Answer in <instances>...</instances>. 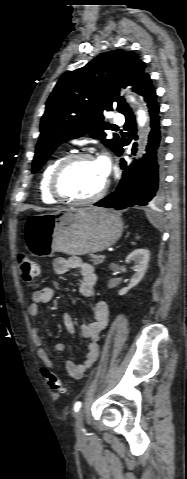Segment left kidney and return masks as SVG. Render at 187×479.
Returning a JSON list of instances; mask_svg holds the SVG:
<instances>
[{
  "label": "left kidney",
  "instance_id": "obj_1",
  "mask_svg": "<svg viewBox=\"0 0 187 479\" xmlns=\"http://www.w3.org/2000/svg\"><path fill=\"white\" fill-rule=\"evenodd\" d=\"M150 259V252L147 249H136L126 257V262H134V275L130 279L128 287L122 288L119 295H125L131 288L135 287L144 277ZM110 269L116 271L119 269L118 265L111 264Z\"/></svg>",
  "mask_w": 187,
  "mask_h": 479
}]
</instances>
